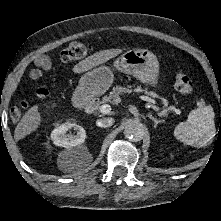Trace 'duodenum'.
Returning <instances> with one entry per match:
<instances>
[{
	"label": "duodenum",
	"instance_id": "obj_1",
	"mask_svg": "<svg viewBox=\"0 0 221 221\" xmlns=\"http://www.w3.org/2000/svg\"><path fill=\"white\" fill-rule=\"evenodd\" d=\"M75 104L76 106L83 108L86 114H92L98 108L99 100L96 98H87L86 96L79 94L75 98Z\"/></svg>",
	"mask_w": 221,
	"mask_h": 221
}]
</instances>
